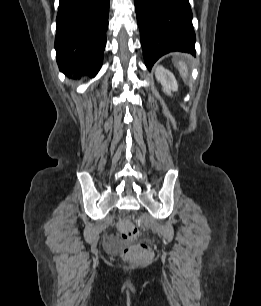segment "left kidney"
Returning a JSON list of instances; mask_svg holds the SVG:
<instances>
[{
  "instance_id": "obj_1",
  "label": "left kidney",
  "mask_w": 261,
  "mask_h": 306,
  "mask_svg": "<svg viewBox=\"0 0 261 306\" xmlns=\"http://www.w3.org/2000/svg\"><path fill=\"white\" fill-rule=\"evenodd\" d=\"M155 76L158 82L161 83L163 91L171 95V91H177L178 85L174 75L162 66H157Z\"/></svg>"
}]
</instances>
